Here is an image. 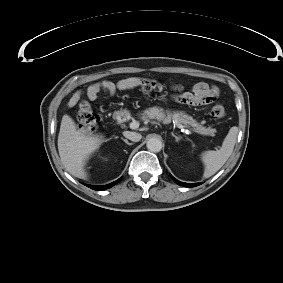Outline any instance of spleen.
<instances>
[{
	"label": "spleen",
	"instance_id": "spleen-1",
	"mask_svg": "<svg viewBox=\"0 0 283 283\" xmlns=\"http://www.w3.org/2000/svg\"><path fill=\"white\" fill-rule=\"evenodd\" d=\"M237 133L238 128L232 127L219 150H211L204 153L203 162L205 164V175L207 177L216 173L230 157L235 146Z\"/></svg>",
	"mask_w": 283,
	"mask_h": 283
}]
</instances>
